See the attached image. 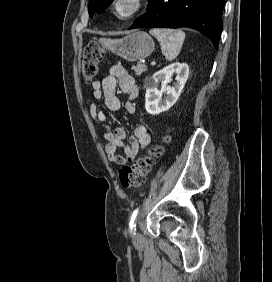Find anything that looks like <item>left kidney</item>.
Returning a JSON list of instances; mask_svg holds the SVG:
<instances>
[{"instance_id": "left-kidney-1", "label": "left kidney", "mask_w": 272, "mask_h": 282, "mask_svg": "<svg viewBox=\"0 0 272 282\" xmlns=\"http://www.w3.org/2000/svg\"><path fill=\"white\" fill-rule=\"evenodd\" d=\"M176 74L172 86L168 85L172 81V76ZM189 76V67L186 63H172L153 74L148 78L144 86L145 109L151 115H157L170 109L178 100ZM161 88L158 89V84ZM165 94L164 99H162Z\"/></svg>"}]
</instances>
